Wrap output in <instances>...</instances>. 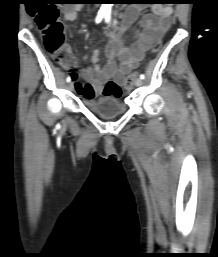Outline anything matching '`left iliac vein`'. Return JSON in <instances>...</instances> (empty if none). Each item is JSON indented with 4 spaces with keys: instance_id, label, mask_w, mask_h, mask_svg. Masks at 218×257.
I'll list each match as a JSON object with an SVG mask.
<instances>
[{
    "instance_id": "4c4485c4",
    "label": "left iliac vein",
    "mask_w": 218,
    "mask_h": 257,
    "mask_svg": "<svg viewBox=\"0 0 218 257\" xmlns=\"http://www.w3.org/2000/svg\"><path fill=\"white\" fill-rule=\"evenodd\" d=\"M135 85L137 87L141 86L142 85V79L141 78H137L136 81H135Z\"/></svg>"
}]
</instances>
